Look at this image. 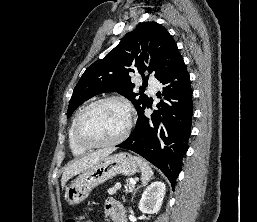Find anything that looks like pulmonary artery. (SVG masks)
<instances>
[{"label":"pulmonary artery","instance_id":"obj_1","mask_svg":"<svg viewBox=\"0 0 257 222\" xmlns=\"http://www.w3.org/2000/svg\"><path fill=\"white\" fill-rule=\"evenodd\" d=\"M158 86H159V82L156 79H154V78H149L148 79V87L153 92H155L157 90Z\"/></svg>","mask_w":257,"mask_h":222}]
</instances>
